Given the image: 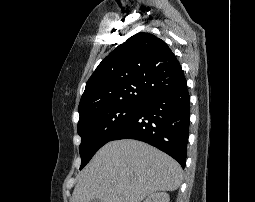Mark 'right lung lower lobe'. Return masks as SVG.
Segmentation results:
<instances>
[{"instance_id":"98d812e1","label":"right lung lower lobe","mask_w":255,"mask_h":202,"mask_svg":"<svg viewBox=\"0 0 255 202\" xmlns=\"http://www.w3.org/2000/svg\"><path fill=\"white\" fill-rule=\"evenodd\" d=\"M190 96L186 82L158 93L143 104L111 141L136 139L146 142L186 165L190 121Z\"/></svg>"}]
</instances>
